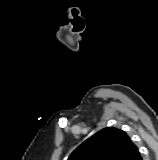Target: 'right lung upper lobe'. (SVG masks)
Returning <instances> with one entry per match:
<instances>
[{
	"instance_id": "cb5924a9",
	"label": "right lung upper lobe",
	"mask_w": 158,
	"mask_h": 160,
	"mask_svg": "<svg viewBox=\"0 0 158 160\" xmlns=\"http://www.w3.org/2000/svg\"><path fill=\"white\" fill-rule=\"evenodd\" d=\"M140 152L122 130L108 127L76 148L68 160H138Z\"/></svg>"
}]
</instances>
